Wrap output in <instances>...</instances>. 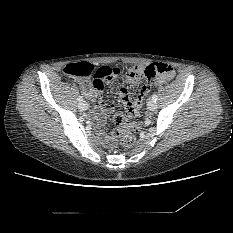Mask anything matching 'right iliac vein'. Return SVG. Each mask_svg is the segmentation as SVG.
<instances>
[{
  "mask_svg": "<svg viewBox=\"0 0 233 233\" xmlns=\"http://www.w3.org/2000/svg\"><path fill=\"white\" fill-rule=\"evenodd\" d=\"M78 107L81 111H86L88 109V103L86 101H82Z\"/></svg>",
  "mask_w": 233,
  "mask_h": 233,
  "instance_id": "1",
  "label": "right iliac vein"
}]
</instances>
